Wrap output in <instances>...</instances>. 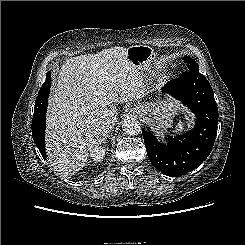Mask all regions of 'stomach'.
Here are the masks:
<instances>
[{"label": "stomach", "instance_id": "stomach-1", "mask_svg": "<svg viewBox=\"0 0 245 245\" xmlns=\"http://www.w3.org/2000/svg\"><path fill=\"white\" fill-rule=\"evenodd\" d=\"M129 60L139 70L149 72L155 64L157 55L155 51L146 45H133L127 49ZM136 112L149 124L156 128H169L173 119L180 111L178 102L169 97L159 99L156 102L143 103L135 107Z\"/></svg>", "mask_w": 245, "mask_h": 245}]
</instances>
